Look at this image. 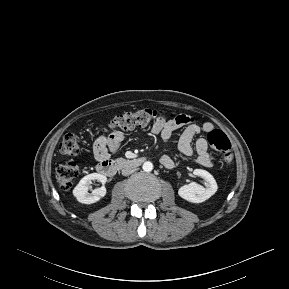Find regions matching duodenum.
<instances>
[{
	"mask_svg": "<svg viewBox=\"0 0 289 289\" xmlns=\"http://www.w3.org/2000/svg\"><path fill=\"white\" fill-rule=\"evenodd\" d=\"M145 161V157L104 159L98 162L97 171L102 175L111 177L122 169L141 166Z\"/></svg>",
	"mask_w": 289,
	"mask_h": 289,
	"instance_id": "410a0bca",
	"label": "duodenum"
}]
</instances>
